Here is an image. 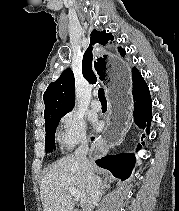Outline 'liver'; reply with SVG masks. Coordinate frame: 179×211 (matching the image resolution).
<instances>
[{
  "mask_svg": "<svg viewBox=\"0 0 179 211\" xmlns=\"http://www.w3.org/2000/svg\"><path fill=\"white\" fill-rule=\"evenodd\" d=\"M69 187L81 193V205L85 208L91 183L73 154L58 160L42 178L40 197L43 211H74L75 202L69 193Z\"/></svg>",
  "mask_w": 179,
  "mask_h": 211,
  "instance_id": "liver-1",
  "label": "liver"
}]
</instances>
